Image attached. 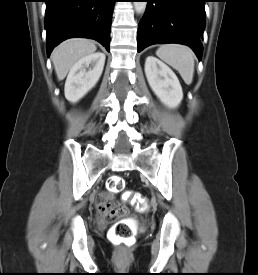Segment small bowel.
Masks as SVG:
<instances>
[{"label": "small bowel", "mask_w": 258, "mask_h": 275, "mask_svg": "<svg viewBox=\"0 0 258 275\" xmlns=\"http://www.w3.org/2000/svg\"><path fill=\"white\" fill-rule=\"evenodd\" d=\"M111 201V196L108 194H101L96 201V208L98 212L104 217L103 213L107 210L108 203Z\"/></svg>", "instance_id": "obj_1"}]
</instances>
